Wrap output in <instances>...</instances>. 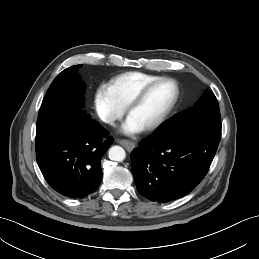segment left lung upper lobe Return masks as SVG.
<instances>
[{"label":"left lung upper lobe","instance_id":"left-lung-upper-lobe-1","mask_svg":"<svg viewBox=\"0 0 259 259\" xmlns=\"http://www.w3.org/2000/svg\"><path fill=\"white\" fill-rule=\"evenodd\" d=\"M192 121L221 123L218 101L212 91H206L204 97L196 106L176 114L163 123L152 136H163L173 129Z\"/></svg>","mask_w":259,"mask_h":259}]
</instances>
